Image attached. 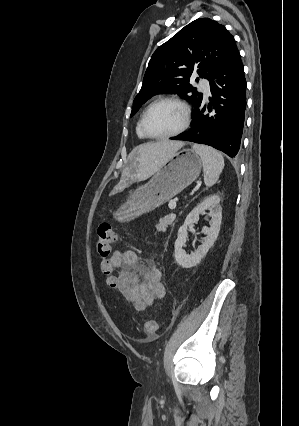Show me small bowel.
<instances>
[{"label": "small bowel", "instance_id": "small-bowel-1", "mask_svg": "<svg viewBox=\"0 0 299 426\" xmlns=\"http://www.w3.org/2000/svg\"><path fill=\"white\" fill-rule=\"evenodd\" d=\"M116 271L118 290L127 302L143 310L165 295L161 273L153 263H142L133 250H116L108 260Z\"/></svg>", "mask_w": 299, "mask_h": 426}]
</instances>
